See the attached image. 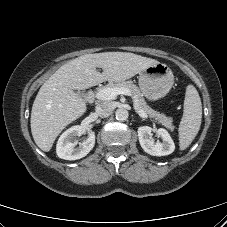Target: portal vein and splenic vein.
<instances>
[{"instance_id":"1","label":"portal vein and splenic vein","mask_w":227,"mask_h":227,"mask_svg":"<svg viewBox=\"0 0 227 227\" xmlns=\"http://www.w3.org/2000/svg\"><path fill=\"white\" fill-rule=\"evenodd\" d=\"M131 95L130 90L128 88H111V87H106L101 90H99L96 93V98L99 100H112L117 97V95ZM134 108L136 112L142 117V118H147V114L143 111L138 109L136 105H134Z\"/></svg>"}]
</instances>
